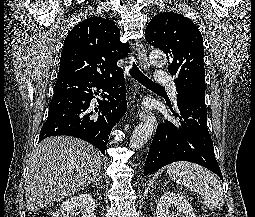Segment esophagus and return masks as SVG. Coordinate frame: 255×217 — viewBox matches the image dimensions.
Wrapping results in <instances>:
<instances>
[{
    "instance_id": "esophagus-1",
    "label": "esophagus",
    "mask_w": 255,
    "mask_h": 217,
    "mask_svg": "<svg viewBox=\"0 0 255 217\" xmlns=\"http://www.w3.org/2000/svg\"><path fill=\"white\" fill-rule=\"evenodd\" d=\"M135 49H136V52H137V56H138L140 66L144 70L147 71L150 68V63L148 61L147 52H146L143 44L140 41H136ZM139 117H140L141 120H144V121L145 120H150L154 123L156 122L155 115L151 112L141 110L140 113H139Z\"/></svg>"
}]
</instances>
